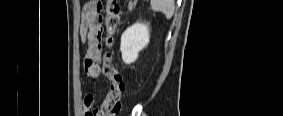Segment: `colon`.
I'll return each instance as SVG.
<instances>
[{
	"instance_id": "5ec220e1",
	"label": "colon",
	"mask_w": 283,
	"mask_h": 116,
	"mask_svg": "<svg viewBox=\"0 0 283 116\" xmlns=\"http://www.w3.org/2000/svg\"><path fill=\"white\" fill-rule=\"evenodd\" d=\"M120 20L121 10L119 2L107 0L105 6V26L107 29L105 45L107 47H111L113 44V36L120 25ZM102 69L104 76L109 81V91L100 110L104 116H116L121 110V97L125 84L109 52L103 55Z\"/></svg>"
}]
</instances>
